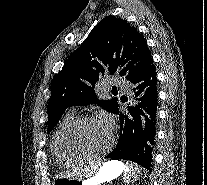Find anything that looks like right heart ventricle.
Instances as JSON below:
<instances>
[{"label":"right heart ventricle","instance_id":"right-heart-ventricle-1","mask_svg":"<svg viewBox=\"0 0 207 185\" xmlns=\"http://www.w3.org/2000/svg\"><path fill=\"white\" fill-rule=\"evenodd\" d=\"M76 120L73 114L67 115L59 124L52 140V150L59 165L72 166L88 160L90 157L77 155L69 149L66 136L71 124Z\"/></svg>","mask_w":207,"mask_h":185}]
</instances>
